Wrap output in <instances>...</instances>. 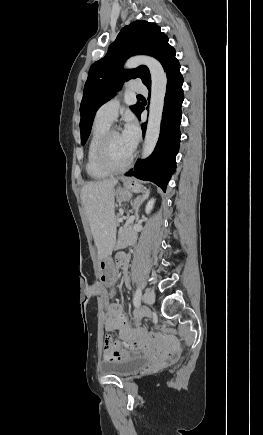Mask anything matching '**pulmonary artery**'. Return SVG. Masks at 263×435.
<instances>
[{
	"instance_id": "pulmonary-artery-1",
	"label": "pulmonary artery",
	"mask_w": 263,
	"mask_h": 435,
	"mask_svg": "<svg viewBox=\"0 0 263 435\" xmlns=\"http://www.w3.org/2000/svg\"><path fill=\"white\" fill-rule=\"evenodd\" d=\"M129 90L135 93H146L147 88L140 81H132L129 85ZM120 108V100L118 97H114L111 100L104 103L96 113V119L112 123L118 116Z\"/></svg>"
}]
</instances>
